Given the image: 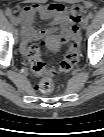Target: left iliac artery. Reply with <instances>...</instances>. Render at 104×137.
<instances>
[{
    "label": "left iliac artery",
    "mask_w": 104,
    "mask_h": 137,
    "mask_svg": "<svg viewBox=\"0 0 104 137\" xmlns=\"http://www.w3.org/2000/svg\"><path fill=\"white\" fill-rule=\"evenodd\" d=\"M87 17H88L89 19H91V18L94 17V14H93L92 12H89L88 15H87Z\"/></svg>",
    "instance_id": "left-iliac-artery-1"
}]
</instances>
